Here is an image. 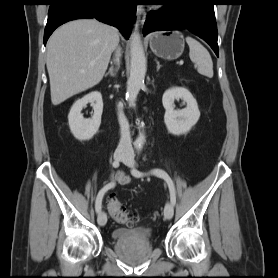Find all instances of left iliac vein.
<instances>
[{"label":"left iliac vein","instance_id":"left-iliac-vein-1","mask_svg":"<svg viewBox=\"0 0 278 278\" xmlns=\"http://www.w3.org/2000/svg\"><path fill=\"white\" fill-rule=\"evenodd\" d=\"M124 164L129 167H134L135 161L133 155L129 154L124 160ZM174 214V208L172 203L167 202L164 208V216L166 219L170 220L173 217Z\"/></svg>","mask_w":278,"mask_h":278}]
</instances>
